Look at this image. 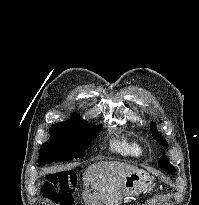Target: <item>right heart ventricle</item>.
Here are the masks:
<instances>
[{
    "label": "right heart ventricle",
    "mask_w": 199,
    "mask_h": 205,
    "mask_svg": "<svg viewBox=\"0 0 199 205\" xmlns=\"http://www.w3.org/2000/svg\"><path fill=\"white\" fill-rule=\"evenodd\" d=\"M112 149L121 155L134 157H139L143 153V149L138 142L126 138L114 141L112 143Z\"/></svg>",
    "instance_id": "1"
}]
</instances>
